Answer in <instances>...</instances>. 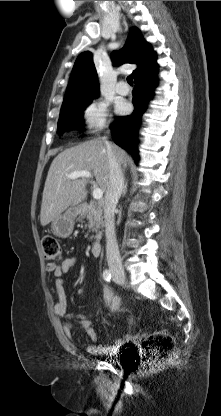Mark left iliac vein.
Returning a JSON list of instances; mask_svg holds the SVG:
<instances>
[{"label":"left iliac vein","mask_w":221,"mask_h":416,"mask_svg":"<svg viewBox=\"0 0 221 416\" xmlns=\"http://www.w3.org/2000/svg\"><path fill=\"white\" fill-rule=\"evenodd\" d=\"M113 280H114L116 283H120V282H118L115 278H113Z\"/></svg>","instance_id":"4c4485c4"}]
</instances>
